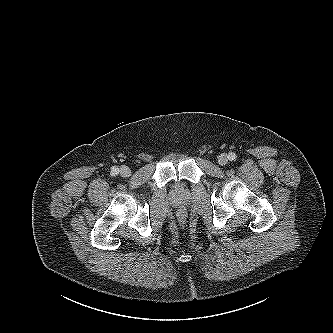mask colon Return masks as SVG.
Masks as SVG:
<instances>
[{
    "mask_svg": "<svg viewBox=\"0 0 333 333\" xmlns=\"http://www.w3.org/2000/svg\"><path fill=\"white\" fill-rule=\"evenodd\" d=\"M180 221L183 223L185 221V215L183 212L180 213Z\"/></svg>",
    "mask_w": 333,
    "mask_h": 333,
    "instance_id": "colon-1",
    "label": "colon"
}]
</instances>
